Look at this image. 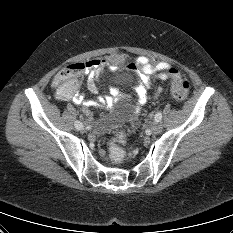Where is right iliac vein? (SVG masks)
Listing matches in <instances>:
<instances>
[{"label":"right iliac vein","instance_id":"obj_1","mask_svg":"<svg viewBox=\"0 0 233 233\" xmlns=\"http://www.w3.org/2000/svg\"><path fill=\"white\" fill-rule=\"evenodd\" d=\"M79 131L83 134V135H88L89 134V129L86 128L85 126H81L79 128Z\"/></svg>","mask_w":233,"mask_h":233}]
</instances>
